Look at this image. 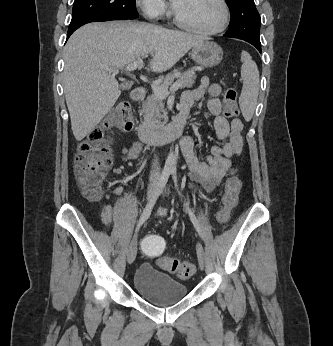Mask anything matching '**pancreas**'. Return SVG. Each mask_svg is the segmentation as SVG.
I'll return each mask as SVG.
<instances>
[{"label":"pancreas","mask_w":333,"mask_h":346,"mask_svg":"<svg viewBox=\"0 0 333 346\" xmlns=\"http://www.w3.org/2000/svg\"><path fill=\"white\" fill-rule=\"evenodd\" d=\"M176 77L181 82V88H190L195 83L196 74L194 70L181 73L178 69H175L172 73L166 75L160 86L168 88ZM140 113L143 117L142 125L151 130L158 129L167 121V112L164 110L163 98H159L155 94L148 96L143 101ZM161 120H164V122Z\"/></svg>","instance_id":"obj_1"}]
</instances>
